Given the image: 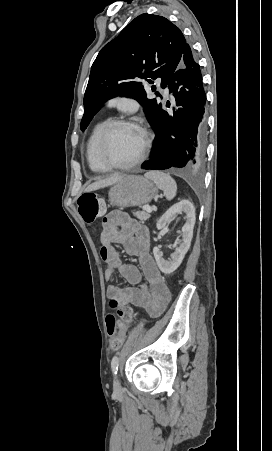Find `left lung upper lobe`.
Listing matches in <instances>:
<instances>
[{"label":"left lung upper lobe","instance_id":"obj_1","mask_svg":"<svg viewBox=\"0 0 272 451\" xmlns=\"http://www.w3.org/2000/svg\"><path fill=\"white\" fill-rule=\"evenodd\" d=\"M187 45L181 30L168 19L152 14L136 17L101 49L91 67L81 130L105 101L116 96L136 99L144 107L148 122L156 125L161 104L147 98L139 78L150 83L161 78V87L165 88Z\"/></svg>","mask_w":272,"mask_h":451}]
</instances>
